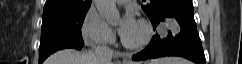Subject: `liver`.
Here are the masks:
<instances>
[{"label":"liver","instance_id":"liver-1","mask_svg":"<svg viewBox=\"0 0 242 64\" xmlns=\"http://www.w3.org/2000/svg\"><path fill=\"white\" fill-rule=\"evenodd\" d=\"M44 64H99V62L94 54H81L73 49H65L52 54Z\"/></svg>","mask_w":242,"mask_h":64}]
</instances>
